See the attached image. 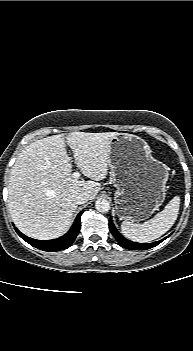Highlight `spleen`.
I'll return each mask as SVG.
<instances>
[{
  "label": "spleen",
  "mask_w": 193,
  "mask_h": 351,
  "mask_svg": "<svg viewBox=\"0 0 193 351\" xmlns=\"http://www.w3.org/2000/svg\"><path fill=\"white\" fill-rule=\"evenodd\" d=\"M180 207V197L175 196L154 218L143 224H133L123 221L122 234L136 242H150L165 234L175 223Z\"/></svg>",
  "instance_id": "1"
}]
</instances>
